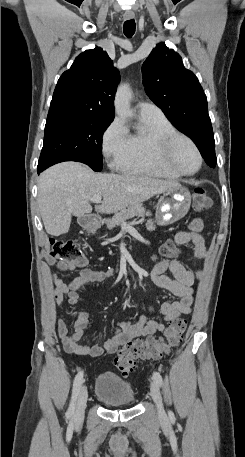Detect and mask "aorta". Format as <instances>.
Masks as SVG:
<instances>
[{
    "label": "aorta",
    "instance_id": "762f6f07",
    "mask_svg": "<svg viewBox=\"0 0 245 457\" xmlns=\"http://www.w3.org/2000/svg\"><path fill=\"white\" fill-rule=\"evenodd\" d=\"M131 97L132 91L129 84L124 83L117 88L114 106L118 116L123 119L130 118L133 115L130 107Z\"/></svg>",
    "mask_w": 245,
    "mask_h": 457
}]
</instances>
